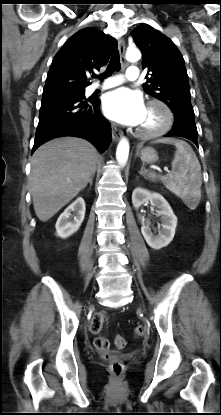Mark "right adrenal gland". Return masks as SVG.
Segmentation results:
<instances>
[{"label": "right adrenal gland", "mask_w": 221, "mask_h": 415, "mask_svg": "<svg viewBox=\"0 0 221 415\" xmlns=\"http://www.w3.org/2000/svg\"><path fill=\"white\" fill-rule=\"evenodd\" d=\"M94 175H95V174H93V175L89 178V180H88V183L90 184V186H92V184H93V178H94Z\"/></svg>", "instance_id": "obj_1"}]
</instances>
